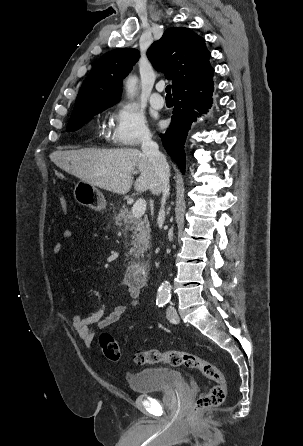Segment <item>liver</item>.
Returning <instances> with one entry per match:
<instances>
[{
    "instance_id": "1",
    "label": "liver",
    "mask_w": 303,
    "mask_h": 446,
    "mask_svg": "<svg viewBox=\"0 0 303 446\" xmlns=\"http://www.w3.org/2000/svg\"><path fill=\"white\" fill-rule=\"evenodd\" d=\"M51 161L60 169L93 186L124 195L134 184L137 192L159 194L160 184L152 163L138 149H80L55 151ZM139 177L134 181L133 174Z\"/></svg>"
}]
</instances>
